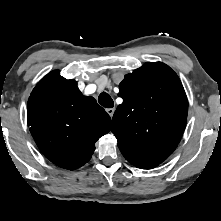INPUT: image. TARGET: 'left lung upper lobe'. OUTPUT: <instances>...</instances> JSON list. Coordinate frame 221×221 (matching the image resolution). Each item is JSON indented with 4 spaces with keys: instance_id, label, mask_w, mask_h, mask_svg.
<instances>
[{
    "instance_id": "obj_1",
    "label": "left lung upper lobe",
    "mask_w": 221,
    "mask_h": 221,
    "mask_svg": "<svg viewBox=\"0 0 221 221\" xmlns=\"http://www.w3.org/2000/svg\"><path fill=\"white\" fill-rule=\"evenodd\" d=\"M112 133L122 153L156 165L176 149L185 129L188 101L177 74L161 62L145 63L119 85Z\"/></svg>"
}]
</instances>
